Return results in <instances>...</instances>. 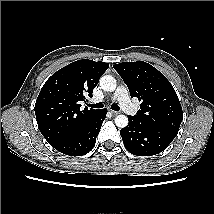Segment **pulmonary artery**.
Instances as JSON below:
<instances>
[{"label": "pulmonary artery", "mask_w": 214, "mask_h": 214, "mask_svg": "<svg viewBox=\"0 0 214 214\" xmlns=\"http://www.w3.org/2000/svg\"><path fill=\"white\" fill-rule=\"evenodd\" d=\"M113 100H117L120 104V106L128 113V114H135L136 108L131 103L128 90L124 85H119L117 89L115 90L113 96Z\"/></svg>", "instance_id": "obj_1"}]
</instances>
